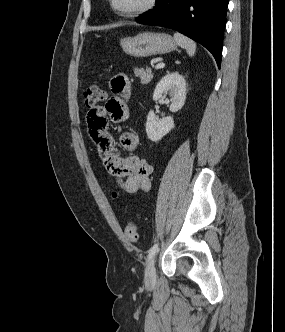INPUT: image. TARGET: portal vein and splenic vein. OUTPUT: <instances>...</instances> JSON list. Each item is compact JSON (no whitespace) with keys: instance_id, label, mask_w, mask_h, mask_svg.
Segmentation results:
<instances>
[{"instance_id":"portal-vein-and-splenic-vein-1","label":"portal vein and splenic vein","mask_w":285,"mask_h":332,"mask_svg":"<svg viewBox=\"0 0 285 332\" xmlns=\"http://www.w3.org/2000/svg\"><path fill=\"white\" fill-rule=\"evenodd\" d=\"M165 66V64L163 62L161 63H158L156 66H155V69H161Z\"/></svg>"}]
</instances>
